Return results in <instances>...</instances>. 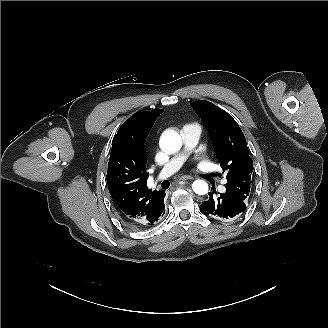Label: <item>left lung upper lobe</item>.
<instances>
[{
	"label": "left lung upper lobe",
	"mask_w": 328,
	"mask_h": 328,
	"mask_svg": "<svg viewBox=\"0 0 328 328\" xmlns=\"http://www.w3.org/2000/svg\"><path fill=\"white\" fill-rule=\"evenodd\" d=\"M191 105L208 129L222 170L227 173L226 193L245 201L253 162L242 130L230 114L209 101H194Z\"/></svg>",
	"instance_id": "5c2ea615"
}]
</instances>
